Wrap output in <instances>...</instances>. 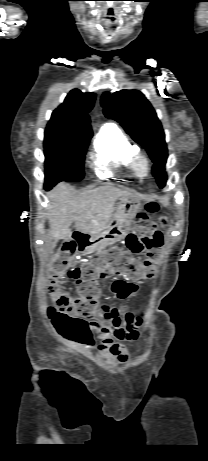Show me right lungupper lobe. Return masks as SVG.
Instances as JSON below:
<instances>
[{"label":"right lung upper lobe","mask_w":208,"mask_h":461,"mask_svg":"<svg viewBox=\"0 0 208 461\" xmlns=\"http://www.w3.org/2000/svg\"><path fill=\"white\" fill-rule=\"evenodd\" d=\"M95 94L73 89L52 113L48 128L68 134H91L88 113L94 106Z\"/></svg>","instance_id":"obj_1"}]
</instances>
